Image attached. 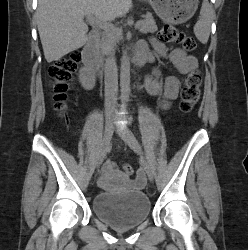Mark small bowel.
Wrapping results in <instances>:
<instances>
[{
    "mask_svg": "<svg viewBox=\"0 0 248 250\" xmlns=\"http://www.w3.org/2000/svg\"><path fill=\"white\" fill-rule=\"evenodd\" d=\"M153 50H149L146 47H141L140 52L148 56L149 62H155L159 59H168L173 64L175 69L181 74L185 75L193 70L198 69L197 60L188 55L184 50L180 48L168 51L165 44L157 38L151 39ZM159 71L155 69L153 76L148 80V88L152 92H158L159 85ZM180 89V79L176 76H169L166 78L164 88L160 92V107L166 110L170 107L171 102L177 98ZM112 171V166L108 165L105 168V172Z\"/></svg>",
    "mask_w": 248,
    "mask_h": 250,
    "instance_id": "small-bowel-1",
    "label": "small bowel"
}]
</instances>
